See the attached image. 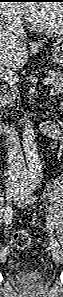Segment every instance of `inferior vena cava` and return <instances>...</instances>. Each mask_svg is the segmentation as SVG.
<instances>
[{
  "mask_svg": "<svg viewBox=\"0 0 63 297\" xmlns=\"http://www.w3.org/2000/svg\"><path fill=\"white\" fill-rule=\"evenodd\" d=\"M0 28L2 33L11 32L18 37H26L21 22L17 17L5 15L1 19ZM7 145L9 166L16 172V174H20L24 170V163L20 153L19 137L13 126V123L8 129Z\"/></svg>",
  "mask_w": 63,
  "mask_h": 297,
  "instance_id": "1",
  "label": "inferior vena cava"
}]
</instances>
